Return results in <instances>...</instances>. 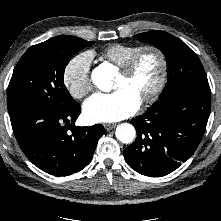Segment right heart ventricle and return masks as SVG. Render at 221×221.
I'll use <instances>...</instances> for the list:
<instances>
[{"mask_svg":"<svg viewBox=\"0 0 221 221\" xmlns=\"http://www.w3.org/2000/svg\"><path fill=\"white\" fill-rule=\"evenodd\" d=\"M140 48L141 46L131 44H111L101 52V56L114 65L121 67Z\"/></svg>","mask_w":221,"mask_h":221,"instance_id":"e07e8e85","label":"right heart ventricle"}]
</instances>
